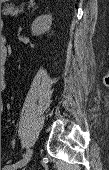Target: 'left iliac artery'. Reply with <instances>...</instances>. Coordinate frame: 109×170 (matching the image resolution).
<instances>
[{"label": "left iliac artery", "mask_w": 109, "mask_h": 170, "mask_svg": "<svg viewBox=\"0 0 109 170\" xmlns=\"http://www.w3.org/2000/svg\"><path fill=\"white\" fill-rule=\"evenodd\" d=\"M31 158V151L30 149H27V152H26V155L24 156V158L18 162H16L15 164L16 165H23V164H26L28 163V161L30 160Z\"/></svg>", "instance_id": "1"}]
</instances>
